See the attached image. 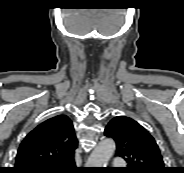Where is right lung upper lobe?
Returning a JSON list of instances; mask_svg holds the SVG:
<instances>
[{
	"label": "right lung upper lobe",
	"instance_id": "right-lung-upper-lobe-1",
	"mask_svg": "<svg viewBox=\"0 0 184 173\" xmlns=\"http://www.w3.org/2000/svg\"><path fill=\"white\" fill-rule=\"evenodd\" d=\"M78 141L66 115L52 117L32 130L22 141L14 173H49L74 161Z\"/></svg>",
	"mask_w": 184,
	"mask_h": 173
}]
</instances>
